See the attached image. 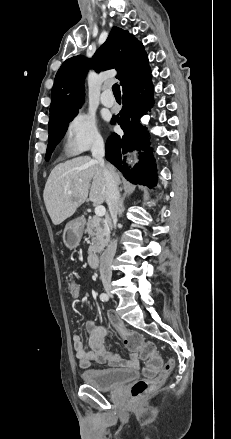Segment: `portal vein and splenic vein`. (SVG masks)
Segmentation results:
<instances>
[{
	"label": "portal vein and splenic vein",
	"mask_w": 231,
	"mask_h": 439,
	"mask_svg": "<svg viewBox=\"0 0 231 439\" xmlns=\"http://www.w3.org/2000/svg\"><path fill=\"white\" fill-rule=\"evenodd\" d=\"M67 193L71 194L72 191H68ZM105 213H106V209H105L104 206L98 205V206L95 207V214H96V216L103 217L105 215Z\"/></svg>",
	"instance_id": "18ae733b"
}]
</instances>
